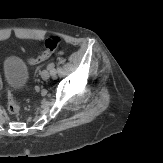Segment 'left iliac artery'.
Wrapping results in <instances>:
<instances>
[{"label":"left iliac artery","mask_w":163,"mask_h":163,"mask_svg":"<svg viewBox=\"0 0 163 163\" xmlns=\"http://www.w3.org/2000/svg\"><path fill=\"white\" fill-rule=\"evenodd\" d=\"M54 67H55L54 63H50L48 65V67H47L50 70V72H51L52 75H55L56 74V69Z\"/></svg>","instance_id":"left-iliac-artery-1"}]
</instances>
